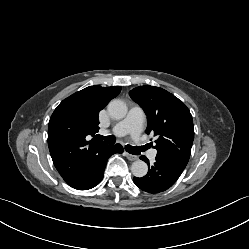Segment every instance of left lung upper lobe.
Returning <instances> with one entry per match:
<instances>
[{"instance_id":"left-lung-upper-lobe-1","label":"left lung upper lobe","mask_w":249,"mask_h":249,"mask_svg":"<svg viewBox=\"0 0 249 249\" xmlns=\"http://www.w3.org/2000/svg\"><path fill=\"white\" fill-rule=\"evenodd\" d=\"M147 115V134L156 136V159L184 169L194 139L193 119L186 105L168 91L139 86L129 92Z\"/></svg>"}]
</instances>
